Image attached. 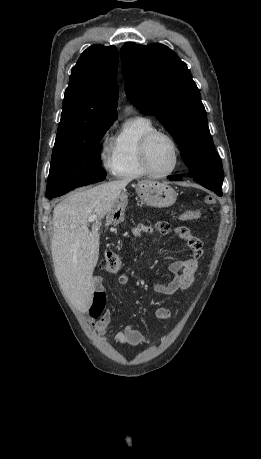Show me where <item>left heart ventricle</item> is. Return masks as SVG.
Masks as SVG:
<instances>
[{
	"mask_svg": "<svg viewBox=\"0 0 261 459\" xmlns=\"http://www.w3.org/2000/svg\"><path fill=\"white\" fill-rule=\"evenodd\" d=\"M174 160V150L170 141L161 136L155 138L149 152L152 169L157 173L168 172L173 167Z\"/></svg>",
	"mask_w": 261,
	"mask_h": 459,
	"instance_id": "obj_1",
	"label": "left heart ventricle"
}]
</instances>
